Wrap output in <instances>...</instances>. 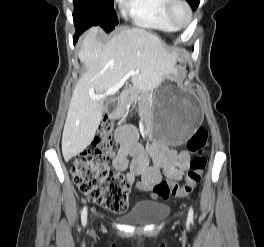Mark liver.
I'll return each mask as SVG.
<instances>
[{
	"label": "liver",
	"instance_id": "liver-1",
	"mask_svg": "<svg viewBox=\"0 0 264 247\" xmlns=\"http://www.w3.org/2000/svg\"><path fill=\"white\" fill-rule=\"evenodd\" d=\"M99 27L86 33L78 51L86 66L69 104L62 135L65 161L81 153L94 139L102 119L103 100H92L91 94H102L134 72L133 84L139 90H153L169 77L175 60L160 38L145 29H126L102 44Z\"/></svg>",
	"mask_w": 264,
	"mask_h": 247
}]
</instances>
